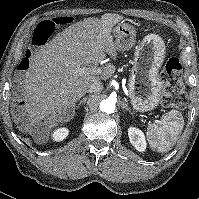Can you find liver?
Segmentation results:
<instances>
[{"instance_id": "liver-1", "label": "liver", "mask_w": 199, "mask_h": 199, "mask_svg": "<svg viewBox=\"0 0 199 199\" xmlns=\"http://www.w3.org/2000/svg\"><path fill=\"white\" fill-rule=\"evenodd\" d=\"M122 19V15L106 13L100 19L91 17L79 21L31 57L29 69L14 92L15 100L19 97L25 100L24 112L14 116L21 129L33 133L36 140L37 128L44 136L49 135L53 126L74 116V104L90 84L101 83L114 74L113 65H105L98 74L88 66L99 63L106 55L116 59L111 32ZM45 118L48 123L44 126L41 121Z\"/></svg>"}]
</instances>
